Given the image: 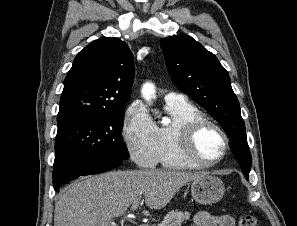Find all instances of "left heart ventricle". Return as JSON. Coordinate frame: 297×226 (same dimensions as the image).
Segmentation results:
<instances>
[{"instance_id": "b2bd125f", "label": "left heart ventricle", "mask_w": 297, "mask_h": 226, "mask_svg": "<svg viewBox=\"0 0 297 226\" xmlns=\"http://www.w3.org/2000/svg\"><path fill=\"white\" fill-rule=\"evenodd\" d=\"M223 139L213 127L204 128L196 139V152L204 160L216 159L222 150Z\"/></svg>"}]
</instances>
